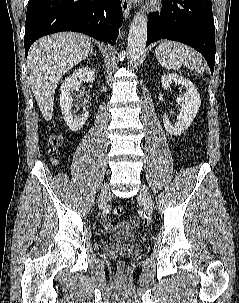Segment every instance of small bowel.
I'll use <instances>...</instances> for the list:
<instances>
[{
	"label": "small bowel",
	"instance_id": "1",
	"mask_svg": "<svg viewBox=\"0 0 239 303\" xmlns=\"http://www.w3.org/2000/svg\"><path fill=\"white\" fill-rule=\"evenodd\" d=\"M136 220H138V222H136ZM101 224L103 226V228L107 231V232H114L116 230H120V229H133L134 227L138 226L139 224V218L137 216H132L128 222L125 223H121L119 225H114L110 218L106 215L101 217Z\"/></svg>",
	"mask_w": 239,
	"mask_h": 303
}]
</instances>
